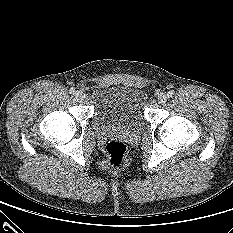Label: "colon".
<instances>
[{
	"instance_id": "obj_1",
	"label": "colon",
	"mask_w": 233,
	"mask_h": 233,
	"mask_svg": "<svg viewBox=\"0 0 233 233\" xmlns=\"http://www.w3.org/2000/svg\"><path fill=\"white\" fill-rule=\"evenodd\" d=\"M105 164L111 169L123 165L127 156V147L120 141H110L104 147Z\"/></svg>"
}]
</instances>
